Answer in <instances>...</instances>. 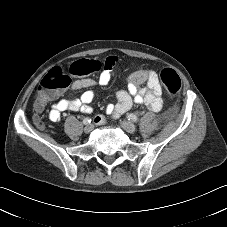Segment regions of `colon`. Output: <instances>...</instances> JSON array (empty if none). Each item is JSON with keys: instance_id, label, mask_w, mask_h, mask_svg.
Wrapping results in <instances>:
<instances>
[{"instance_id": "1", "label": "colon", "mask_w": 227, "mask_h": 227, "mask_svg": "<svg viewBox=\"0 0 227 227\" xmlns=\"http://www.w3.org/2000/svg\"><path fill=\"white\" fill-rule=\"evenodd\" d=\"M100 63L92 59H78L69 65V72L76 76H89L96 72ZM160 80L170 97L177 96L182 87L181 79L173 69L165 68L160 72ZM71 77L60 67L52 68L40 81L34 98V109L41 111L44 106L68 88ZM42 126V123H38Z\"/></svg>"}]
</instances>
